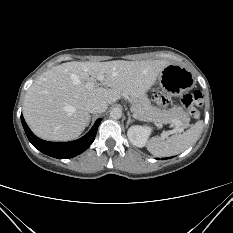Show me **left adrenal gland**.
Returning <instances> with one entry per match:
<instances>
[{
	"label": "left adrenal gland",
	"instance_id": "obj_1",
	"mask_svg": "<svg viewBox=\"0 0 233 233\" xmlns=\"http://www.w3.org/2000/svg\"><path fill=\"white\" fill-rule=\"evenodd\" d=\"M133 121H134V120L131 118V115H130V113L128 112V120H127L126 127H128L129 124H130L131 122H133Z\"/></svg>",
	"mask_w": 233,
	"mask_h": 233
}]
</instances>
